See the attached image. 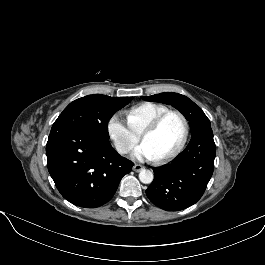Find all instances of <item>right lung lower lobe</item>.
Returning a JSON list of instances; mask_svg holds the SVG:
<instances>
[{
    "label": "right lung lower lobe",
    "mask_w": 265,
    "mask_h": 265,
    "mask_svg": "<svg viewBox=\"0 0 265 265\" xmlns=\"http://www.w3.org/2000/svg\"><path fill=\"white\" fill-rule=\"evenodd\" d=\"M46 155L49 173L61 195L86 208L108 202L134 165L120 156L108 140L74 127L52 131Z\"/></svg>",
    "instance_id": "98d812e1"
}]
</instances>
